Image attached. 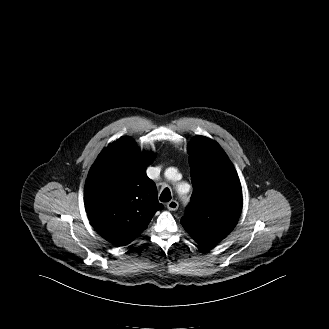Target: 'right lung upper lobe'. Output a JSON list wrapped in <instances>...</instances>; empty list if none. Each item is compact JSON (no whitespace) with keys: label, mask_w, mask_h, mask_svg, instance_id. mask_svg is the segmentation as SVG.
I'll return each instance as SVG.
<instances>
[{"label":"right lung upper lobe","mask_w":329,"mask_h":329,"mask_svg":"<svg viewBox=\"0 0 329 329\" xmlns=\"http://www.w3.org/2000/svg\"><path fill=\"white\" fill-rule=\"evenodd\" d=\"M154 154L140 153L133 140L111 143L92 165L84 201L94 229L107 241L125 246L147 228L157 210L155 183L146 175Z\"/></svg>","instance_id":"right-lung-upper-lobe-1"}]
</instances>
